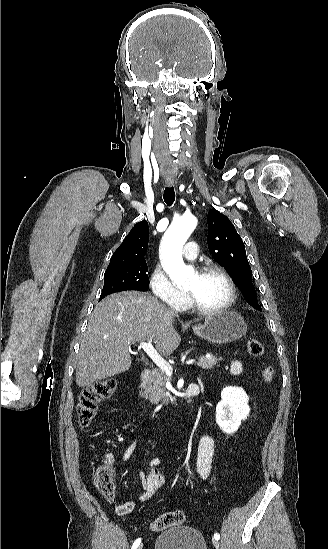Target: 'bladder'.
<instances>
[{"instance_id": "bladder-1", "label": "bladder", "mask_w": 328, "mask_h": 549, "mask_svg": "<svg viewBox=\"0 0 328 549\" xmlns=\"http://www.w3.org/2000/svg\"><path fill=\"white\" fill-rule=\"evenodd\" d=\"M155 549H206V543L196 528L177 526L159 534Z\"/></svg>"}]
</instances>
